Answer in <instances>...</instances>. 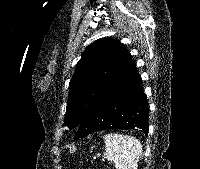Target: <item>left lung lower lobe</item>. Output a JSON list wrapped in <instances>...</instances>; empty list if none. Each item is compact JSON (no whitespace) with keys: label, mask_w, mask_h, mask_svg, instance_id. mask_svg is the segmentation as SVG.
I'll use <instances>...</instances> for the list:
<instances>
[{"label":"left lung lower lobe","mask_w":200,"mask_h":169,"mask_svg":"<svg viewBox=\"0 0 200 169\" xmlns=\"http://www.w3.org/2000/svg\"><path fill=\"white\" fill-rule=\"evenodd\" d=\"M148 100L136 72L101 98L86 114L74 140L108 129H132L148 134Z\"/></svg>","instance_id":"left-lung-lower-lobe-1"}]
</instances>
